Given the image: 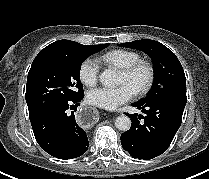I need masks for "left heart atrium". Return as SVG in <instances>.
Instances as JSON below:
<instances>
[{"mask_svg":"<svg viewBox=\"0 0 209 179\" xmlns=\"http://www.w3.org/2000/svg\"><path fill=\"white\" fill-rule=\"evenodd\" d=\"M136 94V90L128 83L114 88L101 87L88 92L87 100L89 103L107 109L113 110L121 104L131 100Z\"/></svg>","mask_w":209,"mask_h":179,"instance_id":"left-heart-atrium-1","label":"left heart atrium"}]
</instances>
